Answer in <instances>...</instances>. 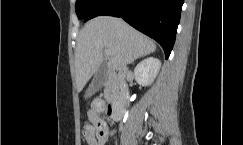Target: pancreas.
Returning a JSON list of instances; mask_svg holds the SVG:
<instances>
[{
	"label": "pancreas",
	"instance_id": "cf45deb5",
	"mask_svg": "<svg viewBox=\"0 0 243 145\" xmlns=\"http://www.w3.org/2000/svg\"><path fill=\"white\" fill-rule=\"evenodd\" d=\"M113 89V84L112 81L109 80L107 85H106V89H105V94L106 96L109 94V92Z\"/></svg>",
	"mask_w": 243,
	"mask_h": 145
}]
</instances>
